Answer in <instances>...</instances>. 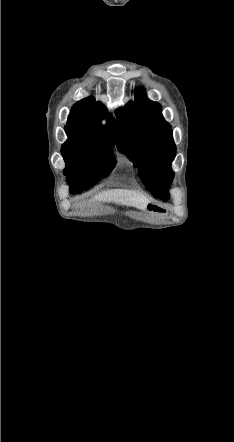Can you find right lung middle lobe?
I'll use <instances>...</instances> for the list:
<instances>
[{
    "label": "right lung middle lobe",
    "mask_w": 234,
    "mask_h": 442,
    "mask_svg": "<svg viewBox=\"0 0 234 442\" xmlns=\"http://www.w3.org/2000/svg\"><path fill=\"white\" fill-rule=\"evenodd\" d=\"M68 141L62 145L66 163L64 174L70 185V193L87 190L102 177L107 176L116 165L111 146H92L83 143L65 129Z\"/></svg>",
    "instance_id": "dd1d6c3e"
}]
</instances>
